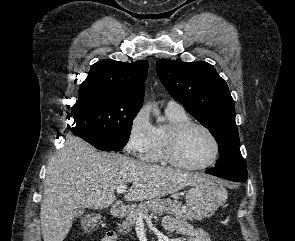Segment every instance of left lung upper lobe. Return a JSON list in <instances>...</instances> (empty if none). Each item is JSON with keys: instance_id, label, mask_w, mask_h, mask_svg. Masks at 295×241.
Returning <instances> with one entry per match:
<instances>
[{"instance_id": "obj_1", "label": "left lung upper lobe", "mask_w": 295, "mask_h": 241, "mask_svg": "<svg viewBox=\"0 0 295 241\" xmlns=\"http://www.w3.org/2000/svg\"><path fill=\"white\" fill-rule=\"evenodd\" d=\"M156 68L171 96L215 137L220 159L208 170L224 179L245 182L247 168L239 149L234 101L225 80L207 62L160 59Z\"/></svg>"}]
</instances>
